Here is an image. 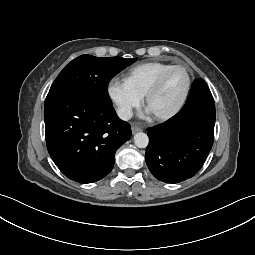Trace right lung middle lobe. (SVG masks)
Returning a JSON list of instances; mask_svg holds the SVG:
<instances>
[{
  "instance_id": "right-lung-middle-lobe-1",
  "label": "right lung middle lobe",
  "mask_w": 255,
  "mask_h": 255,
  "mask_svg": "<svg viewBox=\"0 0 255 255\" xmlns=\"http://www.w3.org/2000/svg\"><path fill=\"white\" fill-rule=\"evenodd\" d=\"M137 58H99L81 55L67 64L53 82L49 93L76 92L94 97L105 106L112 107L108 95L109 81Z\"/></svg>"
}]
</instances>
